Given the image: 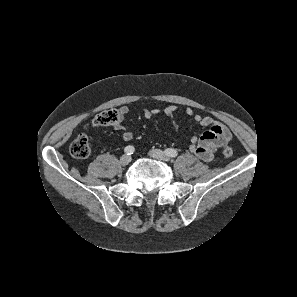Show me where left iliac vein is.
Segmentation results:
<instances>
[{
  "label": "left iliac vein",
  "mask_w": 297,
  "mask_h": 297,
  "mask_svg": "<svg viewBox=\"0 0 297 297\" xmlns=\"http://www.w3.org/2000/svg\"><path fill=\"white\" fill-rule=\"evenodd\" d=\"M149 155L152 158L161 160V161H169L170 160L169 156L165 152H163L162 150H159V149L150 150Z\"/></svg>",
  "instance_id": "4c4485c4"
}]
</instances>
